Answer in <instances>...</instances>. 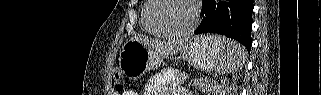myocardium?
Instances as JSON below:
<instances>
[{
	"label": "myocardium",
	"mask_w": 321,
	"mask_h": 95,
	"mask_svg": "<svg viewBox=\"0 0 321 95\" xmlns=\"http://www.w3.org/2000/svg\"><path fill=\"white\" fill-rule=\"evenodd\" d=\"M157 1H159V0H149L148 5H147L145 12H144V19H145L146 25L148 26V28L151 31H153L154 33H156L160 36L181 37V36H186L195 30V28L199 22V10H198V6H197L196 1L182 0V1L186 2L189 5V7L191 8L192 21L186 29L181 30V31L166 30V29L158 28L151 22L150 16H149L150 10L156 4Z\"/></svg>",
	"instance_id": "f54148a6"
}]
</instances>
